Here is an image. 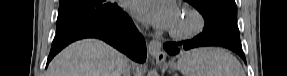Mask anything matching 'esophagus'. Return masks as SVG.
<instances>
[{
    "label": "esophagus",
    "instance_id": "obj_1",
    "mask_svg": "<svg viewBox=\"0 0 287 76\" xmlns=\"http://www.w3.org/2000/svg\"><path fill=\"white\" fill-rule=\"evenodd\" d=\"M149 55L157 62H163L166 59L165 53L161 49V42L157 39L150 40L148 44Z\"/></svg>",
    "mask_w": 287,
    "mask_h": 76
}]
</instances>
